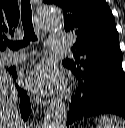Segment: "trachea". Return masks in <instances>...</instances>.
I'll list each match as a JSON object with an SVG mask.
<instances>
[{"label":"trachea","instance_id":"1","mask_svg":"<svg viewBox=\"0 0 125 128\" xmlns=\"http://www.w3.org/2000/svg\"><path fill=\"white\" fill-rule=\"evenodd\" d=\"M21 20L24 30V38L21 41L8 42L7 46L13 50H19L27 46L31 41H37L32 23V10L30 0H21Z\"/></svg>","mask_w":125,"mask_h":128}]
</instances>
